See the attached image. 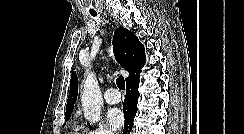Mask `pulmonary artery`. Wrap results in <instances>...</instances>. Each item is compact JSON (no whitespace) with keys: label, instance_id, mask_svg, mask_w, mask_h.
I'll return each instance as SVG.
<instances>
[{"label":"pulmonary artery","instance_id":"e3ab8cb5","mask_svg":"<svg viewBox=\"0 0 244 134\" xmlns=\"http://www.w3.org/2000/svg\"><path fill=\"white\" fill-rule=\"evenodd\" d=\"M104 99L108 104H118L121 101V96L117 89L109 88L104 94Z\"/></svg>","mask_w":244,"mask_h":134}]
</instances>
